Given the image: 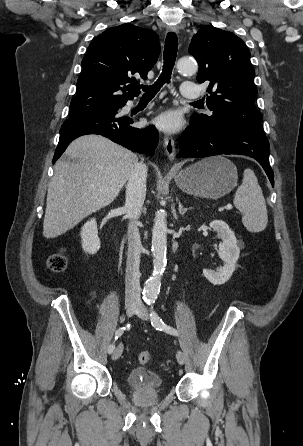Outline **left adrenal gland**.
Returning <instances> with one entry per match:
<instances>
[{"label":"left adrenal gland","mask_w":303,"mask_h":446,"mask_svg":"<svg viewBox=\"0 0 303 446\" xmlns=\"http://www.w3.org/2000/svg\"><path fill=\"white\" fill-rule=\"evenodd\" d=\"M178 206H179L178 210L181 215H184L188 210L192 209L191 207L184 208L180 201L178 202Z\"/></svg>","instance_id":"a2214340"}]
</instances>
